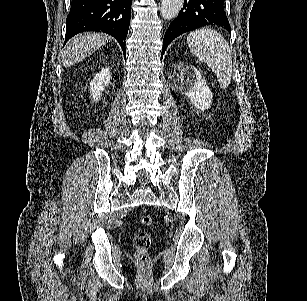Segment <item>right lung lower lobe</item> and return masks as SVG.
<instances>
[{
	"mask_svg": "<svg viewBox=\"0 0 307 301\" xmlns=\"http://www.w3.org/2000/svg\"><path fill=\"white\" fill-rule=\"evenodd\" d=\"M132 0H72L66 20L65 43L83 31L112 35L125 55Z\"/></svg>",
	"mask_w": 307,
	"mask_h": 301,
	"instance_id": "right-lung-lower-lobe-1",
	"label": "right lung lower lobe"
}]
</instances>
